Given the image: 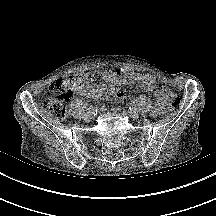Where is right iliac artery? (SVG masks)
Segmentation results:
<instances>
[{
  "mask_svg": "<svg viewBox=\"0 0 216 216\" xmlns=\"http://www.w3.org/2000/svg\"><path fill=\"white\" fill-rule=\"evenodd\" d=\"M88 112H92L93 114L97 113V106H90L88 109Z\"/></svg>",
  "mask_w": 216,
  "mask_h": 216,
  "instance_id": "1",
  "label": "right iliac artery"
}]
</instances>
